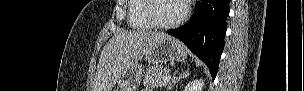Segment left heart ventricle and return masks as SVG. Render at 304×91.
Masks as SVG:
<instances>
[{"label": "left heart ventricle", "instance_id": "1", "mask_svg": "<svg viewBox=\"0 0 304 91\" xmlns=\"http://www.w3.org/2000/svg\"><path fill=\"white\" fill-rule=\"evenodd\" d=\"M153 12L159 22L169 23L182 14L183 5L180 0H158L154 3Z\"/></svg>", "mask_w": 304, "mask_h": 91}]
</instances>
